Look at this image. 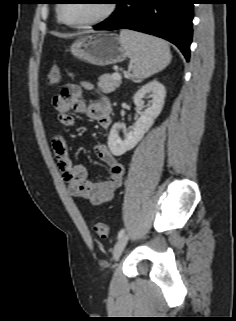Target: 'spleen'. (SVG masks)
I'll return each mask as SVG.
<instances>
[{"mask_svg":"<svg viewBox=\"0 0 236 321\" xmlns=\"http://www.w3.org/2000/svg\"><path fill=\"white\" fill-rule=\"evenodd\" d=\"M120 42L133 63V74L139 81L163 70L171 61L169 45L162 39L122 30Z\"/></svg>","mask_w":236,"mask_h":321,"instance_id":"spleen-1","label":"spleen"}]
</instances>
